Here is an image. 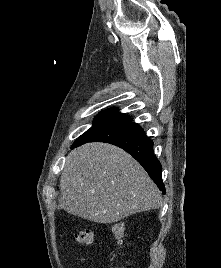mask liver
I'll return each instance as SVG.
<instances>
[{
	"label": "liver",
	"instance_id": "liver-1",
	"mask_svg": "<svg viewBox=\"0 0 221 268\" xmlns=\"http://www.w3.org/2000/svg\"><path fill=\"white\" fill-rule=\"evenodd\" d=\"M60 190V209L99 223L118 222L162 205L159 189L142 166L107 143H87L72 151Z\"/></svg>",
	"mask_w": 221,
	"mask_h": 268
}]
</instances>
